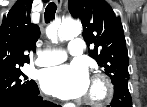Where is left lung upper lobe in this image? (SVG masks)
<instances>
[{
	"mask_svg": "<svg viewBox=\"0 0 147 107\" xmlns=\"http://www.w3.org/2000/svg\"><path fill=\"white\" fill-rule=\"evenodd\" d=\"M73 17L80 18L89 56L111 78L113 84L128 80V52L120 18L105 0H69Z\"/></svg>",
	"mask_w": 147,
	"mask_h": 107,
	"instance_id": "obj_1",
	"label": "left lung upper lobe"
}]
</instances>
